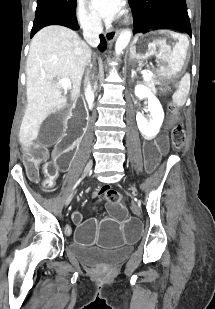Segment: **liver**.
I'll list each match as a JSON object with an SVG mask.
<instances>
[{"mask_svg": "<svg viewBox=\"0 0 215 309\" xmlns=\"http://www.w3.org/2000/svg\"><path fill=\"white\" fill-rule=\"evenodd\" d=\"M91 56L89 44L66 26H45L33 36L26 64L28 104L19 130V140L25 150L34 144L48 114L67 106V98L53 78H70L71 100H75Z\"/></svg>", "mask_w": 215, "mask_h": 309, "instance_id": "obj_1", "label": "liver"}]
</instances>
